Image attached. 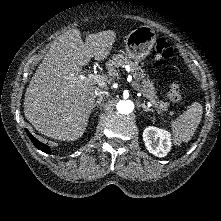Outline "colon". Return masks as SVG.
Listing matches in <instances>:
<instances>
[{"instance_id": "1", "label": "colon", "mask_w": 221, "mask_h": 221, "mask_svg": "<svg viewBox=\"0 0 221 221\" xmlns=\"http://www.w3.org/2000/svg\"><path fill=\"white\" fill-rule=\"evenodd\" d=\"M173 50L170 43L165 38H158L152 49V56L159 66H166L171 62ZM169 98L173 102L182 99V90L177 81H172L168 87Z\"/></svg>"}]
</instances>
